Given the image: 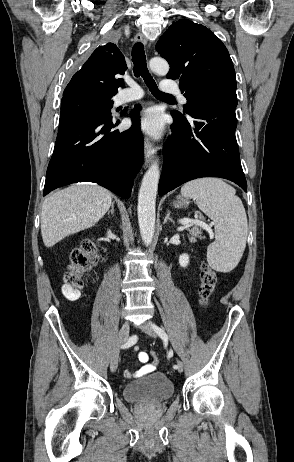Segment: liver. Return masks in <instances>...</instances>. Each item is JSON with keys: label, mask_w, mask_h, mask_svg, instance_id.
<instances>
[{"label": "liver", "mask_w": 294, "mask_h": 462, "mask_svg": "<svg viewBox=\"0 0 294 462\" xmlns=\"http://www.w3.org/2000/svg\"><path fill=\"white\" fill-rule=\"evenodd\" d=\"M112 205V194L98 185H74L47 197L42 206L41 234L52 247L65 237L94 226Z\"/></svg>", "instance_id": "liver-1"}]
</instances>
